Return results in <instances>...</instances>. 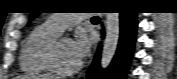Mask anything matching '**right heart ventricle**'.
<instances>
[{
  "label": "right heart ventricle",
  "mask_w": 177,
  "mask_h": 79,
  "mask_svg": "<svg viewBox=\"0 0 177 79\" xmlns=\"http://www.w3.org/2000/svg\"><path fill=\"white\" fill-rule=\"evenodd\" d=\"M60 31L44 22L36 26L23 43L20 66L22 71L33 75H49L46 53L49 45L60 35Z\"/></svg>",
  "instance_id": "e07e8e85"
}]
</instances>
